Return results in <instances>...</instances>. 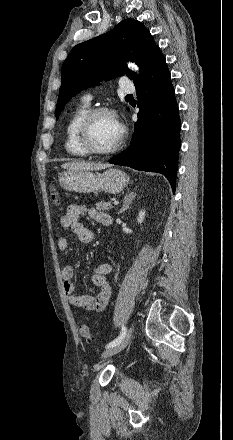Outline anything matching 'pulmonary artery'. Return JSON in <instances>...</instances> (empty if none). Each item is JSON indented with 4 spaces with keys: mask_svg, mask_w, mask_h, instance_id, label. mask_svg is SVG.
<instances>
[{
    "mask_svg": "<svg viewBox=\"0 0 233 440\" xmlns=\"http://www.w3.org/2000/svg\"><path fill=\"white\" fill-rule=\"evenodd\" d=\"M121 90L125 93H131L135 91V87L131 82L124 81L121 83ZM91 100L90 96H85L84 101L88 103Z\"/></svg>",
    "mask_w": 233,
    "mask_h": 440,
    "instance_id": "pulmonary-artery-1",
    "label": "pulmonary artery"
}]
</instances>
